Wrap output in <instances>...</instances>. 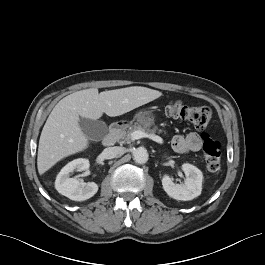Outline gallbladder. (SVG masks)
<instances>
[{
    "instance_id": "obj_1",
    "label": "gallbladder",
    "mask_w": 265,
    "mask_h": 265,
    "mask_svg": "<svg viewBox=\"0 0 265 265\" xmlns=\"http://www.w3.org/2000/svg\"><path fill=\"white\" fill-rule=\"evenodd\" d=\"M79 125L86 137L90 140H101L107 134V125L100 120L80 118Z\"/></svg>"
}]
</instances>
